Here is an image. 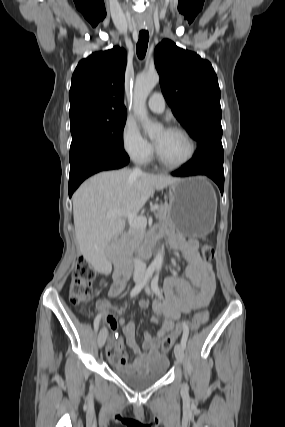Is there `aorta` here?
<instances>
[{
  "label": "aorta",
  "mask_w": 285,
  "mask_h": 427,
  "mask_svg": "<svg viewBox=\"0 0 285 427\" xmlns=\"http://www.w3.org/2000/svg\"><path fill=\"white\" fill-rule=\"evenodd\" d=\"M159 83V75L157 72L140 75L136 78L134 95H133V109L134 113L142 124L145 133L149 137H154L158 134L162 127L160 124L153 123L148 117L146 108V100L152 89ZM164 260L163 248L158 250L151 266L155 269H161Z\"/></svg>",
  "instance_id": "1"
}]
</instances>
